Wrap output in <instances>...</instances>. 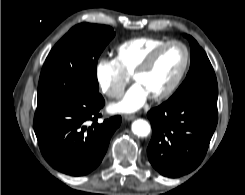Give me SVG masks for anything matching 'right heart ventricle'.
Segmentation results:
<instances>
[{
	"mask_svg": "<svg viewBox=\"0 0 245 195\" xmlns=\"http://www.w3.org/2000/svg\"><path fill=\"white\" fill-rule=\"evenodd\" d=\"M165 42L167 41L151 37L127 40L117 47L115 59L123 72L130 75L154 48Z\"/></svg>",
	"mask_w": 245,
	"mask_h": 195,
	"instance_id": "right-heart-ventricle-1",
	"label": "right heart ventricle"
}]
</instances>
